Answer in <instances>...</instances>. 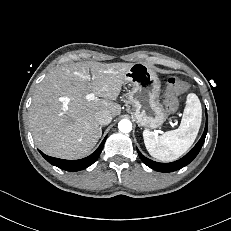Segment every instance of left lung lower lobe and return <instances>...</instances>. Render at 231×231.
Listing matches in <instances>:
<instances>
[{
    "mask_svg": "<svg viewBox=\"0 0 231 231\" xmlns=\"http://www.w3.org/2000/svg\"><path fill=\"white\" fill-rule=\"evenodd\" d=\"M207 134V121H206V125H205V129L203 132L202 137L200 138V140L198 141V143L194 146V148H192L184 157H182L181 159L175 161V162H171V163H159V162H155L152 161L148 158H146L145 156H143L140 151L137 149L138 154L140 159L150 168H152L153 170L159 171V172H173L176 170H179L183 167H185L186 165H188L199 153L204 141H205V137Z\"/></svg>",
    "mask_w": 231,
    "mask_h": 231,
    "instance_id": "obj_1",
    "label": "left lung lower lobe"
}]
</instances>
